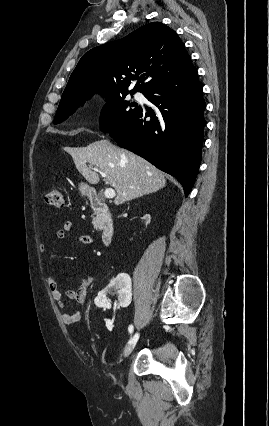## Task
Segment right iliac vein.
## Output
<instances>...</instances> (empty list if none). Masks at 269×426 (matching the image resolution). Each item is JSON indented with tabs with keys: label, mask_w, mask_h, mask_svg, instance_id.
Instances as JSON below:
<instances>
[{
	"label": "right iliac vein",
	"mask_w": 269,
	"mask_h": 426,
	"mask_svg": "<svg viewBox=\"0 0 269 426\" xmlns=\"http://www.w3.org/2000/svg\"><path fill=\"white\" fill-rule=\"evenodd\" d=\"M139 339V334L135 333L133 337L130 339L129 343L127 344L125 350H124V357H128L132 351L134 350L136 343Z\"/></svg>",
	"instance_id": "63e3f726"
}]
</instances>
